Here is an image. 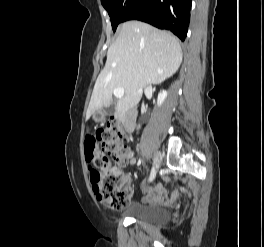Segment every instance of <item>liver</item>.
<instances>
[{
    "instance_id": "6515ba94",
    "label": "liver",
    "mask_w": 264,
    "mask_h": 247,
    "mask_svg": "<svg viewBox=\"0 0 264 247\" xmlns=\"http://www.w3.org/2000/svg\"><path fill=\"white\" fill-rule=\"evenodd\" d=\"M182 62L178 40L165 31L138 21H128L109 47L104 69L96 80L87 115L107 107L113 89L121 87L124 96L116 111L124 113L140 101L143 89L171 77Z\"/></svg>"
}]
</instances>
